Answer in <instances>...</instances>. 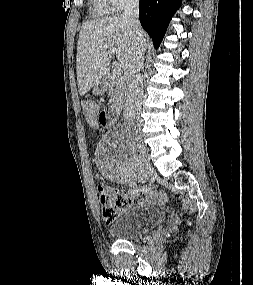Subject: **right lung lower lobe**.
Listing matches in <instances>:
<instances>
[{
	"mask_svg": "<svg viewBox=\"0 0 253 285\" xmlns=\"http://www.w3.org/2000/svg\"><path fill=\"white\" fill-rule=\"evenodd\" d=\"M181 0H140L139 19L157 49Z\"/></svg>",
	"mask_w": 253,
	"mask_h": 285,
	"instance_id": "1",
	"label": "right lung lower lobe"
}]
</instances>
